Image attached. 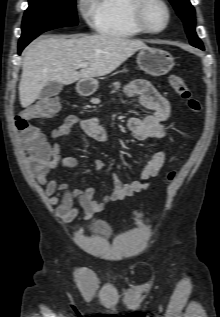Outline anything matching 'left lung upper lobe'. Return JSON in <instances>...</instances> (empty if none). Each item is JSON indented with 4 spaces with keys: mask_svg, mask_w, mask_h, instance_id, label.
Masks as SVG:
<instances>
[{
    "mask_svg": "<svg viewBox=\"0 0 220 317\" xmlns=\"http://www.w3.org/2000/svg\"><path fill=\"white\" fill-rule=\"evenodd\" d=\"M177 14L183 20L190 43L195 47H203L201 40L195 32V10L189 0H169Z\"/></svg>",
    "mask_w": 220,
    "mask_h": 317,
    "instance_id": "5c2ea615",
    "label": "left lung upper lobe"
}]
</instances>
